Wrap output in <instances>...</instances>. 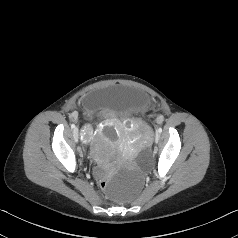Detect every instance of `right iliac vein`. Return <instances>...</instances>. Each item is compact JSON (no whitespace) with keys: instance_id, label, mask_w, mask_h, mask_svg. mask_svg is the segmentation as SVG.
Instances as JSON below:
<instances>
[{"instance_id":"1","label":"right iliac vein","mask_w":238,"mask_h":238,"mask_svg":"<svg viewBox=\"0 0 238 238\" xmlns=\"http://www.w3.org/2000/svg\"><path fill=\"white\" fill-rule=\"evenodd\" d=\"M73 136L77 139L79 138V129L77 127L74 128V130H73Z\"/></svg>"}]
</instances>
